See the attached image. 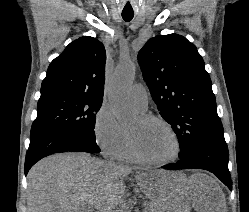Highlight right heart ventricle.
Instances as JSON below:
<instances>
[{
	"label": "right heart ventricle",
	"instance_id": "e07e8e85",
	"mask_svg": "<svg viewBox=\"0 0 249 212\" xmlns=\"http://www.w3.org/2000/svg\"><path fill=\"white\" fill-rule=\"evenodd\" d=\"M123 159L126 161H132V157L130 155L129 149L127 148L124 155H123Z\"/></svg>",
	"mask_w": 249,
	"mask_h": 212
}]
</instances>
